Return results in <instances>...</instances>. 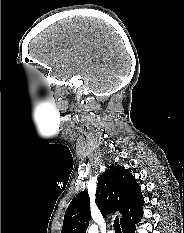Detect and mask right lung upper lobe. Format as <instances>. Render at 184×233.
Segmentation results:
<instances>
[{
    "instance_id": "obj_1",
    "label": "right lung upper lobe",
    "mask_w": 184,
    "mask_h": 233,
    "mask_svg": "<svg viewBox=\"0 0 184 233\" xmlns=\"http://www.w3.org/2000/svg\"><path fill=\"white\" fill-rule=\"evenodd\" d=\"M96 205L104 215L119 211L121 225L143 207V196L135 177L124 167L111 164L97 184ZM91 218L90 199L85 190L66 209L61 233H86Z\"/></svg>"
}]
</instances>
